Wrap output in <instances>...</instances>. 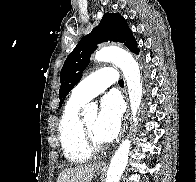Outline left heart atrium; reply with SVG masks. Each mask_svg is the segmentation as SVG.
Returning <instances> with one entry per match:
<instances>
[{"instance_id": "left-heart-atrium-1", "label": "left heart atrium", "mask_w": 196, "mask_h": 182, "mask_svg": "<svg viewBox=\"0 0 196 182\" xmlns=\"http://www.w3.org/2000/svg\"><path fill=\"white\" fill-rule=\"evenodd\" d=\"M123 106L115 94L106 95L101 101L95 132L102 142L112 141L121 128Z\"/></svg>"}]
</instances>
